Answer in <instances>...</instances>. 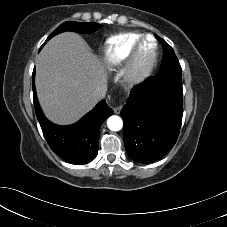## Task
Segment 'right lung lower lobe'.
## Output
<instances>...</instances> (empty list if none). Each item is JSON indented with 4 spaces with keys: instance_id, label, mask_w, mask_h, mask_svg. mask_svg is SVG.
Instances as JSON below:
<instances>
[{
    "instance_id": "98d812e1",
    "label": "right lung lower lobe",
    "mask_w": 227,
    "mask_h": 227,
    "mask_svg": "<svg viewBox=\"0 0 227 227\" xmlns=\"http://www.w3.org/2000/svg\"><path fill=\"white\" fill-rule=\"evenodd\" d=\"M34 71L32 89L37 119L44 137L53 152L73 164H84L92 161L98 153L100 128L105 119L112 115L105 100L86 114L79 122L69 126H59L50 122L39 106L35 85Z\"/></svg>"
}]
</instances>
